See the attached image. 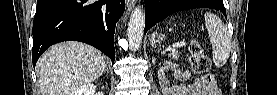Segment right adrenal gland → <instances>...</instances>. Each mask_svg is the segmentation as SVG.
<instances>
[{
	"mask_svg": "<svg viewBox=\"0 0 277 95\" xmlns=\"http://www.w3.org/2000/svg\"><path fill=\"white\" fill-rule=\"evenodd\" d=\"M105 71H106L107 73L109 72L107 66H106V68H105ZM105 71H104V72H105Z\"/></svg>",
	"mask_w": 277,
	"mask_h": 95,
	"instance_id": "2a0ac1e0",
	"label": "right adrenal gland"
}]
</instances>
